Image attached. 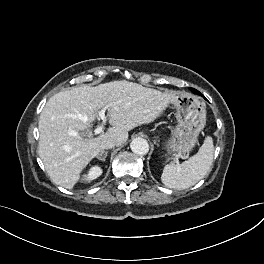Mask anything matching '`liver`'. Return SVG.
I'll return each mask as SVG.
<instances>
[{
	"label": "liver",
	"instance_id": "obj_1",
	"mask_svg": "<svg viewBox=\"0 0 264 264\" xmlns=\"http://www.w3.org/2000/svg\"><path fill=\"white\" fill-rule=\"evenodd\" d=\"M173 98L172 92L125 80L73 87L55 94L47 101L38 126V153L47 174L55 184L72 189L82 170L100 153L103 140L124 144L128 131L153 122ZM100 109L107 110L112 127L94 137L90 127Z\"/></svg>",
	"mask_w": 264,
	"mask_h": 264
}]
</instances>
